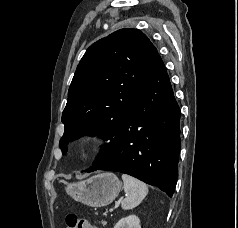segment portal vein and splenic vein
<instances>
[{
  "instance_id": "obj_1",
  "label": "portal vein and splenic vein",
  "mask_w": 238,
  "mask_h": 228,
  "mask_svg": "<svg viewBox=\"0 0 238 228\" xmlns=\"http://www.w3.org/2000/svg\"><path fill=\"white\" fill-rule=\"evenodd\" d=\"M119 202H117L116 204H118ZM110 212H113V209H110Z\"/></svg>"
}]
</instances>
